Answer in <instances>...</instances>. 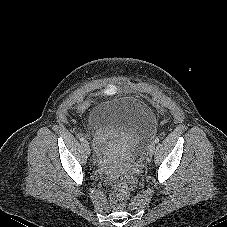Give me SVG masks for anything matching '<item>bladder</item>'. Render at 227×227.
<instances>
[{
	"label": "bladder",
	"instance_id": "1",
	"mask_svg": "<svg viewBox=\"0 0 227 227\" xmlns=\"http://www.w3.org/2000/svg\"><path fill=\"white\" fill-rule=\"evenodd\" d=\"M90 134L95 135L106 129H118L128 139V152L137 155L143 150V144L156 131L154 113L135 99L122 101L110 100L93 106L87 115Z\"/></svg>",
	"mask_w": 227,
	"mask_h": 227
}]
</instances>
